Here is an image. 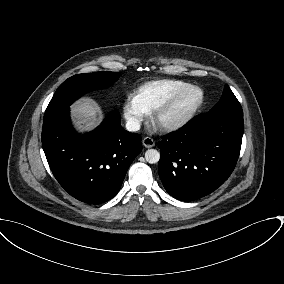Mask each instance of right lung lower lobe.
Segmentation results:
<instances>
[{"label": "right lung lower lobe", "mask_w": 284, "mask_h": 284, "mask_svg": "<svg viewBox=\"0 0 284 284\" xmlns=\"http://www.w3.org/2000/svg\"><path fill=\"white\" fill-rule=\"evenodd\" d=\"M42 145L50 169L74 198L101 204L120 190L126 172L141 152V135L125 131L117 111L92 132L77 134L69 107L44 119Z\"/></svg>", "instance_id": "1"}]
</instances>
